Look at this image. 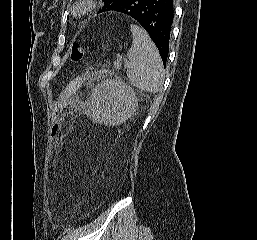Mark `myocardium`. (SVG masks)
<instances>
[{
    "label": "myocardium",
    "mask_w": 257,
    "mask_h": 240,
    "mask_svg": "<svg viewBox=\"0 0 257 240\" xmlns=\"http://www.w3.org/2000/svg\"><path fill=\"white\" fill-rule=\"evenodd\" d=\"M94 8L93 0H79L71 7V12L74 17L81 18L90 13Z\"/></svg>",
    "instance_id": "f54148a6"
}]
</instances>
